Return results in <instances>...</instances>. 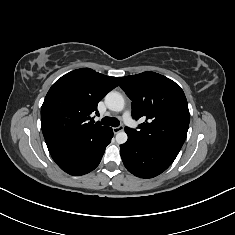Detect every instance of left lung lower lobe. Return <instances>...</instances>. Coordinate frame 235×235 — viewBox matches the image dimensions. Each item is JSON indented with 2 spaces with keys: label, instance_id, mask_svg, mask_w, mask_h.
Segmentation results:
<instances>
[{
  "label": "left lung lower lobe",
  "instance_id": "1",
  "mask_svg": "<svg viewBox=\"0 0 235 235\" xmlns=\"http://www.w3.org/2000/svg\"><path fill=\"white\" fill-rule=\"evenodd\" d=\"M127 135L128 140L120 146V153L126 169L137 177L153 178L165 171L176 158Z\"/></svg>",
  "mask_w": 235,
  "mask_h": 235
}]
</instances>
